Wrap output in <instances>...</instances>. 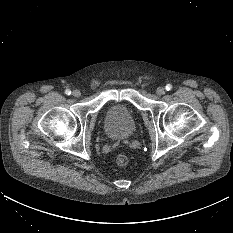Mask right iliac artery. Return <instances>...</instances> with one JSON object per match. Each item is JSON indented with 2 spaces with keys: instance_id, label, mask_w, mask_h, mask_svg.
<instances>
[{
  "instance_id": "right-iliac-artery-1",
  "label": "right iliac artery",
  "mask_w": 233,
  "mask_h": 233,
  "mask_svg": "<svg viewBox=\"0 0 233 233\" xmlns=\"http://www.w3.org/2000/svg\"><path fill=\"white\" fill-rule=\"evenodd\" d=\"M65 94L66 95H70L71 94V91L69 89L65 90Z\"/></svg>"
}]
</instances>
